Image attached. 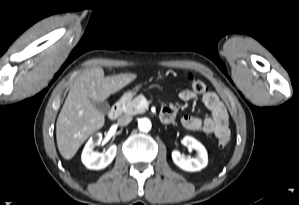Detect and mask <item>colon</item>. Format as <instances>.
Here are the masks:
<instances>
[{"label": "colon", "instance_id": "obj_1", "mask_svg": "<svg viewBox=\"0 0 299 205\" xmlns=\"http://www.w3.org/2000/svg\"><path fill=\"white\" fill-rule=\"evenodd\" d=\"M187 80L190 86V90L196 94H201V93H205L207 88L206 85L197 77H195L193 74H188L187 75ZM230 141V136L229 135H225L222 136L218 139V144L221 147L226 146Z\"/></svg>", "mask_w": 299, "mask_h": 205}]
</instances>
